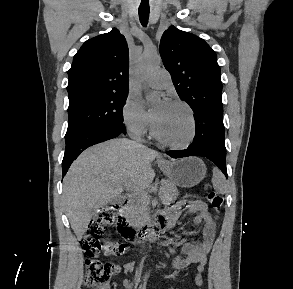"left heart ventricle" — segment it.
Listing matches in <instances>:
<instances>
[{
    "mask_svg": "<svg viewBox=\"0 0 293 289\" xmlns=\"http://www.w3.org/2000/svg\"><path fill=\"white\" fill-rule=\"evenodd\" d=\"M158 135L173 143L184 142L190 133V118L187 110L175 104H169L162 116L154 122Z\"/></svg>",
    "mask_w": 293,
    "mask_h": 289,
    "instance_id": "1",
    "label": "left heart ventricle"
}]
</instances>
